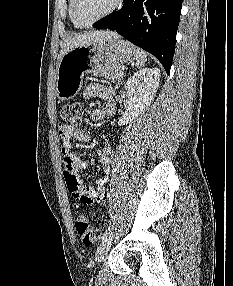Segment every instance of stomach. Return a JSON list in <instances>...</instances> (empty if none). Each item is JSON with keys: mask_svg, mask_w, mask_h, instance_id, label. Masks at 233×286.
Wrapping results in <instances>:
<instances>
[{"mask_svg": "<svg viewBox=\"0 0 233 286\" xmlns=\"http://www.w3.org/2000/svg\"><path fill=\"white\" fill-rule=\"evenodd\" d=\"M135 59V48L120 37L75 47L58 61L57 96L61 100H69L80 91L85 74L94 73L104 66L133 63Z\"/></svg>", "mask_w": 233, "mask_h": 286, "instance_id": "stomach-1", "label": "stomach"}]
</instances>
